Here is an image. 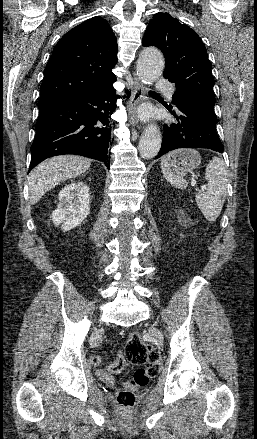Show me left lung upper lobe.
I'll return each instance as SVG.
<instances>
[{
    "label": "left lung upper lobe",
    "mask_w": 257,
    "mask_h": 439,
    "mask_svg": "<svg viewBox=\"0 0 257 439\" xmlns=\"http://www.w3.org/2000/svg\"><path fill=\"white\" fill-rule=\"evenodd\" d=\"M142 45L156 46L162 51L166 59L163 76L175 84L180 96L214 112L211 63L195 31L169 13H157L146 29Z\"/></svg>",
    "instance_id": "left-lung-upper-lobe-1"
}]
</instances>
